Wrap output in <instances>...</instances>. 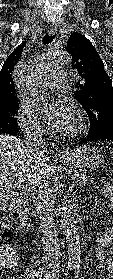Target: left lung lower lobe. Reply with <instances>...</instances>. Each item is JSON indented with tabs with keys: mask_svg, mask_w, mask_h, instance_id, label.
I'll return each instance as SVG.
<instances>
[{
	"mask_svg": "<svg viewBox=\"0 0 113 279\" xmlns=\"http://www.w3.org/2000/svg\"><path fill=\"white\" fill-rule=\"evenodd\" d=\"M103 140H113V123L110 122L104 129L98 132H89L88 136L80 140V144Z\"/></svg>",
	"mask_w": 113,
	"mask_h": 279,
	"instance_id": "obj_1",
	"label": "left lung lower lobe"
}]
</instances>
